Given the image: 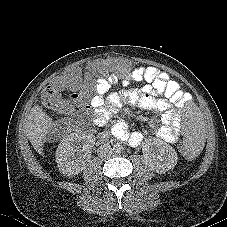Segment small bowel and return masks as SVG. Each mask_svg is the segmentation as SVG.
Listing matches in <instances>:
<instances>
[{"label":"small bowel","instance_id":"small-bowel-1","mask_svg":"<svg viewBox=\"0 0 227 227\" xmlns=\"http://www.w3.org/2000/svg\"><path fill=\"white\" fill-rule=\"evenodd\" d=\"M141 81L145 85L139 90H127L122 96L108 94L117 84L127 86ZM73 90L77 92L71 94L72 101L82 106L85 112L92 111V121L96 126L108 123L123 98L132 105L160 114L152 126L155 137L174 143L180 136V116L177 109L188 99L180 84L156 67L140 66L122 75L113 73L97 78L92 87L82 84ZM92 90L94 94L91 96ZM111 134L131 146L140 145L144 140L142 133L130 130L124 121L115 122L111 127Z\"/></svg>","mask_w":227,"mask_h":227}]
</instances>
